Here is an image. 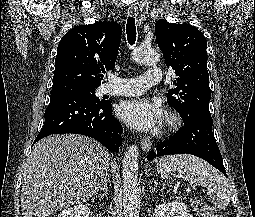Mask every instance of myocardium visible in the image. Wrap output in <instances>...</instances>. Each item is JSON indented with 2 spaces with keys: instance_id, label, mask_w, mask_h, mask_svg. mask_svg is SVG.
Returning a JSON list of instances; mask_svg holds the SVG:
<instances>
[{
  "instance_id": "1",
  "label": "myocardium",
  "mask_w": 255,
  "mask_h": 217,
  "mask_svg": "<svg viewBox=\"0 0 255 217\" xmlns=\"http://www.w3.org/2000/svg\"><path fill=\"white\" fill-rule=\"evenodd\" d=\"M182 125V118L178 113H170L167 118V128L176 130Z\"/></svg>"
}]
</instances>
